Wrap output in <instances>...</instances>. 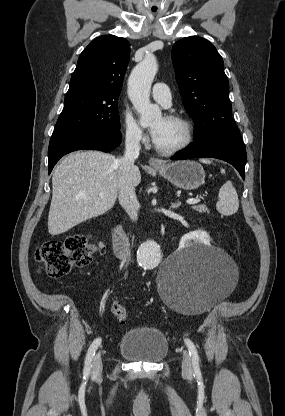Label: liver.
Listing matches in <instances>:
<instances>
[{"label":"liver","mask_w":285,"mask_h":416,"mask_svg":"<svg viewBox=\"0 0 285 416\" xmlns=\"http://www.w3.org/2000/svg\"><path fill=\"white\" fill-rule=\"evenodd\" d=\"M132 186L141 182L139 168L130 172ZM117 158L103 152H73L55 168L48 232L58 236L113 208L118 196ZM104 194V196H99Z\"/></svg>","instance_id":"6515ba94"}]
</instances>
